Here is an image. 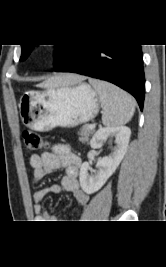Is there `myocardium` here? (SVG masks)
I'll use <instances>...</instances> for the list:
<instances>
[{
    "label": "myocardium",
    "instance_id": "obj_1",
    "mask_svg": "<svg viewBox=\"0 0 166 267\" xmlns=\"http://www.w3.org/2000/svg\"><path fill=\"white\" fill-rule=\"evenodd\" d=\"M45 48H39L37 50L36 56L39 60H47L50 57L51 50L49 48H46L48 46H42Z\"/></svg>",
    "mask_w": 166,
    "mask_h": 267
}]
</instances>
